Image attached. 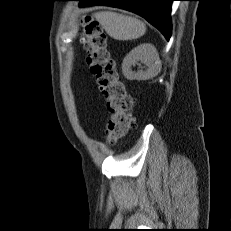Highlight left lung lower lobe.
I'll return each instance as SVG.
<instances>
[{"label":"left lung lower lobe","instance_id":"obj_1","mask_svg":"<svg viewBox=\"0 0 231 231\" xmlns=\"http://www.w3.org/2000/svg\"><path fill=\"white\" fill-rule=\"evenodd\" d=\"M80 1L79 6L105 5L134 12L158 30L162 32L167 40L171 36V3L175 0H75Z\"/></svg>","mask_w":231,"mask_h":231}]
</instances>
